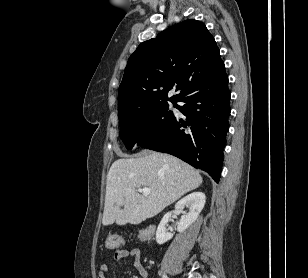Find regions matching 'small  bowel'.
Listing matches in <instances>:
<instances>
[{
    "label": "small bowel",
    "mask_w": 308,
    "mask_h": 278,
    "mask_svg": "<svg viewBox=\"0 0 308 278\" xmlns=\"http://www.w3.org/2000/svg\"><path fill=\"white\" fill-rule=\"evenodd\" d=\"M113 258L116 261H123L128 258L133 260V264L137 272L142 278H148L147 271L142 263V255L139 248L127 249H116L113 252ZM109 264L104 262L100 265L99 278H108Z\"/></svg>",
    "instance_id": "1"
}]
</instances>
